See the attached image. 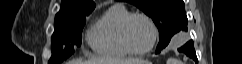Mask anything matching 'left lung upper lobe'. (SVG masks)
<instances>
[{"mask_svg":"<svg viewBox=\"0 0 242 64\" xmlns=\"http://www.w3.org/2000/svg\"><path fill=\"white\" fill-rule=\"evenodd\" d=\"M150 16L158 27L160 40L157 49H164L171 37L187 31V16L183 0H124Z\"/></svg>","mask_w":242,"mask_h":64,"instance_id":"obj_1","label":"left lung upper lobe"}]
</instances>
